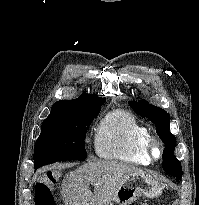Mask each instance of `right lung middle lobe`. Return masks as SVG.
Wrapping results in <instances>:
<instances>
[{"mask_svg":"<svg viewBox=\"0 0 199 205\" xmlns=\"http://www.w3.org/2000/svg\"><path fill=\"white\" fill-rule=\"evenodd\" d=\"M104 102H79L52 108L42 123L35 144V169L57 161L86 159L84 139L87 128Z\"/></svg>","mask_w":199,"mask_h":205,"instance_id":"right-lung-middle-lobe-1","label":"right lung middle lobe"}]
</instances>
